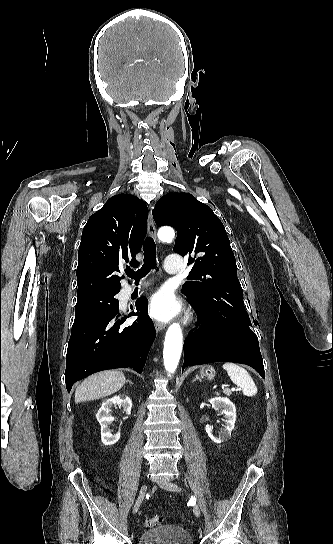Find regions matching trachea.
I'll use <instances>...</instances> for the list:
<instances>
[{
  "label": "trachea",
  "instance_id": "1",
  "mask_svg": "<svg viewBox=\"0 0 333 544\" xmlns=\"http://www.w3.org/2000/svg\"><path fill=\"white\" fill-rule=\"evenodd\" d=\"M143 251L144 264L142 265V267L136 272L131 269H127L125 271L126 275L134 279L136 282H138L141 278L145 277L151 269L156 267V246L154 240L151 237L146 238L143 245Z\"/></svg>",
  "mask_w": 333,
  "mask_h": 544
}]
</instances>
